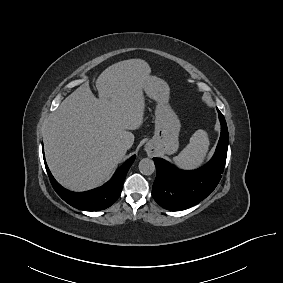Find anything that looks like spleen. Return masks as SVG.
Here are the masks:
<instances>
[{"label": "spleen", "mask_w": 283, "mask_h": 283, "mask_svg": "<svg viewBox=\"0 0 283 283\" xmlns=\"http://www.w3.org/2000/svg\"><path fill=\"white\" fill-rule=\"evenodd\" d=\"M209 138L205 130H197L190 138L189 144L175 157L174 163L183 169L199 167L205 160L209 149Z\"/></svg>", "instance_id": "1"}]
</instances>
